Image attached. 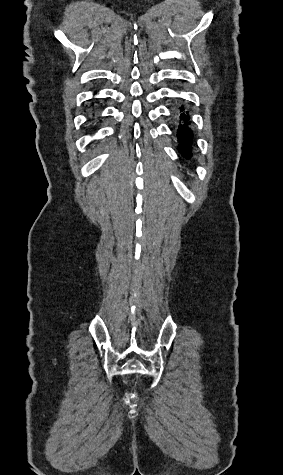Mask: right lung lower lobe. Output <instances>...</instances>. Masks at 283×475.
I'll list each match as a JSON object with an SVG mask.
<instances>
[{"label":"right lung lower lobe","instance_id":"98d812e1","mask_svg":"<svg viewBox=\"0 0 283 475\" xmlns=\"http://www.w3.org/2000/svg\"><path fill=\"white\" fill-rule=\"evenodd\" d=\"M98 108H99V105H98L97 99L90 103L89 109H90L92 117L95 116L94 112H96L98 110ZM93 120H94V118L90 119L89 122H91Z\"/></svg>","mask_w":283,"mask_h":475}]
</instances>
